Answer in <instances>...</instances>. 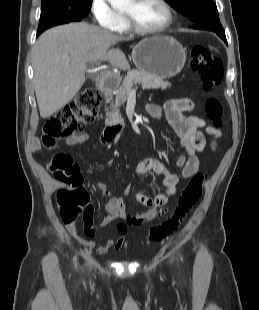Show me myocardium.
I'll return each mask as SVG.
<instances>
[{"label": "myocardium", "mask_w": 259, "mask_h": 310, "mask_svg": "<svg viewBox=\"0 0 259 310\" xmlns=\"http://www.w3.org/2000/svg\"><path fill=\"white\" fill-rule=\"evenodd\" d=\"M135 1L140 2L141 0H135ZM157 1L164 7L166 11L167 17L165 22L161 26L156 28H144L139 26L130 14L124 13L126 23L130 30L142 35H156L165 32L173 25L175 16H174V10L170 5V3L167 0H157Z\"/></svg>", "instance_id": "1"}]
</instances>
